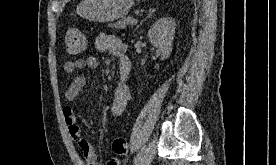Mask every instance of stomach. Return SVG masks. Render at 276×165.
Listing matches in <instances>:
<instances>
[{
	"instance_id": "1",
	"label": "stomach",
	"mask_w": 276,
	"mask_h": 165,
	"mask_svg": "<svg viewBox=\"0 0 276 165\" xmlns=\"http://www.w3.org/2000/svg\"><path fill=\"white\" fill-rule=\"evenodd\" d=\"M133 0H83L77 6V14L89 21L110 22L124 17Z\"/></svg>"
}]
</instances>
